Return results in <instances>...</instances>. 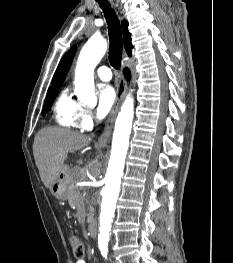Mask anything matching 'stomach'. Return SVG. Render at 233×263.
<instances>
[{
	"instance_id": "obj_1",
	"label": "stomach",
	"mask_w": 233,
	"mask_h": 263,
	"mask_svg": "<svg viewBox=\"0 0 233 263\" xmlns=\"http://www.w3.org/2000/svg\"><path fill=\"white\" fill-rule=\"evenodd\" d=\"M69 173L70 170L67 167H64L51 186V193L58 199L65 200L68 195L69 191V183H68V178H69Z\"/></svg>"
}]
</instances>
